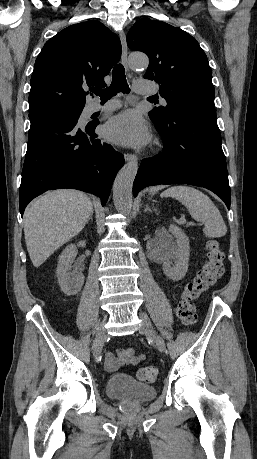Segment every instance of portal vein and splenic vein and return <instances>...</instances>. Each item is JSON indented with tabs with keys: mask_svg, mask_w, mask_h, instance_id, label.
Listing matches in <instances>:
<instances>
[{
	"mask_svg": "<svg viewBox=\"0 0 257 459\" xmlns=\"http://www.w3.org/2000/svg\"><path fill=\"white\" fill-rule=\"evenodd\" d=\"M185 221L184 220H181V223H184Z\"/></svg>",
	"mask_w": 257,
	"mask_h": 459,
	"instance_id": "1",
	"label": "portal vein and splenic vein"
}]
</instances>
